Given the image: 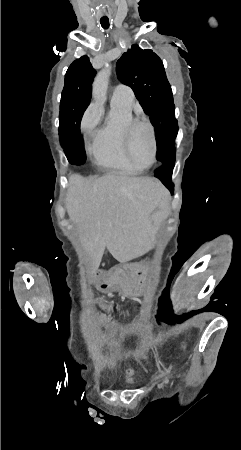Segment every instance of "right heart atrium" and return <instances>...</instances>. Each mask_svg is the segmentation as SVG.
Returning <instances> with one entry per match:
<instances>
[{
    "label": "right heart atrium",
    "instance_id": "right-heart-atrium-1",
    "mask_svg": "<svg viewBox=\"0 0 241 450\" xmlns=\"http://www.w3.org/2000/svg\"><path fill=\"white\" fill-rule=\"evenodd\" d=\"M100 123V116H87L86 121H84L83 127L84 130H97V127L98 125H100Z\"/></svg>",
    "mask_w": 241,
    "mask_h": 450
}]
</instances>
